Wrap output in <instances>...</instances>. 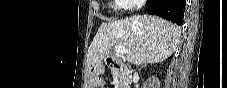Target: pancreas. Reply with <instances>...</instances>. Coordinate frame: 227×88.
<instances>
[{
    "mask_svg": "<svg viewBox=\"0 0 227 88\" xmlns=\"http://www.w3.org/2000/svg\"><path fill=\"white\" fill-rule=\"evenodd\" d=\"M112 75L115 83H118L121 86H127L126 79L121 74H119L116 70L112 71Z\"/></svg>",
    "mask_w": 227,
    "mask_h": 88,
    "instance_id": "obj_1",
    "label": "pancreas"
}]
</instances>
